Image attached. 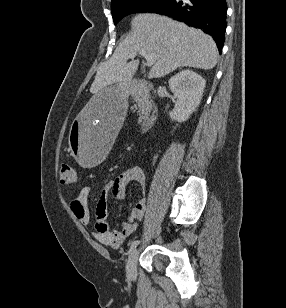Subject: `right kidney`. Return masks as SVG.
<instances>
[{"mask_svg":"<svg viewBox=\"0 0 286 308\" xmlns=\"http://www.w3.org/2000/svg\"><path fill=\"white\" fill-rule=\"evenodd\" d=\"M205 80L192 70H183L169 80V87L177 99L174 109L169 112L172 121L185 122L199 106Z\"/></svg>","mask_w":286,"mask_h":308,"instance_id":"obj_1","label":"right kidney"}]
</instances>
